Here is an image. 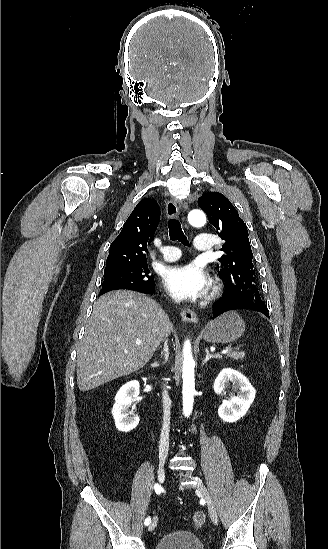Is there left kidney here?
<instances>
[{"label":"left kidney","mask_w":328,"mask_h":549,"mask_svg":"<svg viewBox=\"0 0 328 549\" xmlns=\"http://www.w3.org/2000/svg\"><path fill=\"white\" fill-rule=\"evenodd\" d=\"M233 383L234 387H239L237 397H231L228 401H222L218 409V415L226 423H236L238 419L246 415L250 405H252L256 391L249 383L248 379L234 369H222L216 377L213 389L216 395L226 393V385Z\"/></svg>","instance_id":"5707ae66"}]
</instances>
